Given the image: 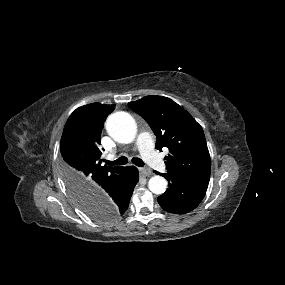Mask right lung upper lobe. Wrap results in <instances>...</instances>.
<instances>
[{"instance_id":"cb5924a9","label":"right lung upper lobe","mask_w":285,"mask_h":285,"mask_svg":"<svg viewBox=\"0 0 285 285\" xmlns=\"http://www.w3.org/2000/svg\"><path fill=\"white\" fill-rule=\"evenodd\" d=\"M114 109V104H88L77 108L65 124L60 143L62 171L82 202L89 203L104 183L125 168L101 165V132Z\"/></svg>"}]
</instances>
